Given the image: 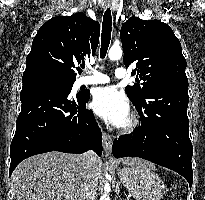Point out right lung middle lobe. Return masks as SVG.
<instances>
[{"mask_svg":"<svg viewBox=\"0 0 205 200\" xmlns=\"http://www.w3.org/2000/svg\"><path fill=\"white\" fill-rule=\"evenodd\" d=\"M55 77L62 79L64 82L70 84L71 86H73V83L75 82V80H73V79H68V78H64V77H60V76H55Z\"/></svg>","mask_w":205,"mask_h":200,"instance_id":"dd1d6c3e","label":"right lung middle lobe"}]
</instances>
